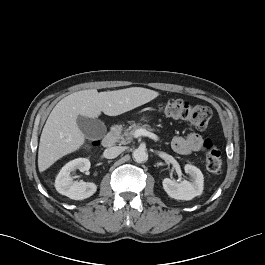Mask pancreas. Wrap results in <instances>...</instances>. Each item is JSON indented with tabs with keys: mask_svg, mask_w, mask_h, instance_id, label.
Here are the masks:
<instances>
[{
	"mask_svg": "<svg viewBox=\"0 0 265 265\" xmlns=\"http://www.w3.org/2000/svg\"><path fill=\"white\" fill-rule=\"evenodd\" d=\"M138 129H147L148 131H152L147 126H140V124L133 123L126 129L118 128L114 131L115 134V141L119 142L120 144H129L134 137V132Z\"/></svg>",
	"mask_w": 265,
	"mask_h": 265,
	"instance_id": "pancreas-1",
	"label": "pancreas"
}]
</instances>
